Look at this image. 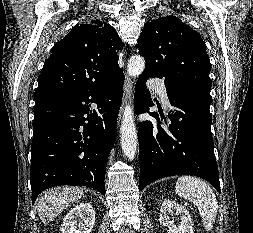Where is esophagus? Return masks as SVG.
Masks as SVG:
<instances>
[{"instance_id":"34e87169","label":"esophagus","mask_w":253,"mask_h":233,"mask_svg":"<svg viewBox=\"0 0 253 233\" xmlns=\"http://www.w3.org/2000/svg\"><path fill=\"white\" fill-rule=\"evenodd\" d=\"M124 91H125V98H124V101H123V106L127 102L132 101V91H133V82H132L131 78L129 77V75L126 71H125ZM122 111H123V108H121L120 113H119V121H120L121 116H122Z\"/></svg>"}]
</instances>
